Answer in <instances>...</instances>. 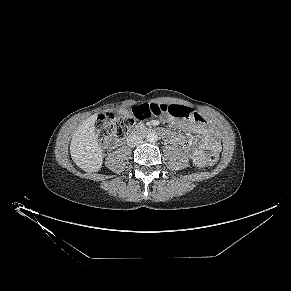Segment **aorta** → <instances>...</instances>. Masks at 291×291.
Wrapping results in <instances>:
<instances>
[{"label": "aorta", "instance_id": "1", "mask_svg": "<svg viewBox=\"0 0 291 291\" xmlns=\"http://www.w3.org/2000/svg\"><path fill=\"white\" fill-rule=\"evenodd\" d=\"M156 139H157V137H156L155 135H152V136H150V138H149V140H150L151 142L156 141Z\"/></svg>", "mask_w": 291, "mask_h": 291}]
</instances>
